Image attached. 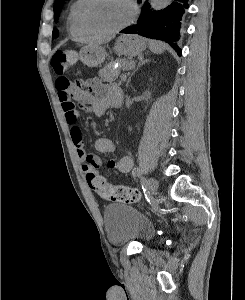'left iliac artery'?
Returning <instances> with one entry per match:
<instances>
[{"instance_id":"44dca946","label":"left iliac artery","mask_w":245,"mask_h":300,"mask_svg":"<svg viewBox=\"0 0 245 300\" xmlns=\"http://www.w3.org/2000/svg\"><path fill=\"white\" fill-rule=\"evenodd\" d=\"M133 174L134 175H140V170L138 169V168H135L134 170H133Z\"/></svg>"}]
</instances>
